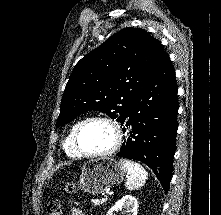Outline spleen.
<instances>
[{
  "mask_svg": "<svg viewBox=\"0 0 221 215\" xmlns=\"http://www.w3.org/2000/svg\"><path fill=\"white\" fill-rule=\"evenodd\" d=\"M120 164L128 174L126 181V188L128 190L138 189L145 184L148 173L140 164L128 159H120Z\"/></svg>",
  "mask_w": 221,
  "mask_h": 215,
  "instance_id": "1",
  "label": "spleen"
}]
</instances>
